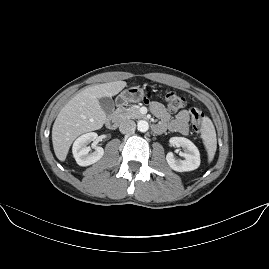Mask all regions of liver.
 <instances>
[{"label": "liver", "instance_id": "1", "mask_svg": "<svg viewBox=\"0 0 269 269\" xmlns=\"http://www.w3.org/2000/svg\"><path fill=\"white\" fill-rule=\"evenodd\" d=\"M126 86L115 81L89 87L72 98L59 112L52 131L53 146L59 160H64L74 139L80 134L97 130L106 114L99 105L100 97L117 94Z\"/></svg>", "mask_w": 269, "mask_h": 269}]
</instances>
